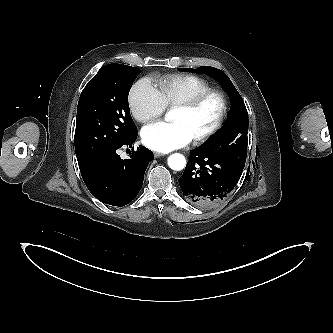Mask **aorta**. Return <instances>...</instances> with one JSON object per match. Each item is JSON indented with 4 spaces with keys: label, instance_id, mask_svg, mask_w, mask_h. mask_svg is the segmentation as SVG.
Instances as JSON below:
<instances>
[{
    "label": "aorta",
    "instance_id": "obj_1",
    "mask_svg": "<svg viewBox=\"0 0 333 333\" xmlns=\"http://www.w3.org/2000/svg\"><path fill=\"white\" fill-rule=\"evenodd\" d=\"M169 118V114L166 115ZM168 165L172 170H182L186 165V159L182 154L175 153L169 156Z\"/></svg>",
    "mask_w": 333,
    "mask_h": 333
}]
</instances>
